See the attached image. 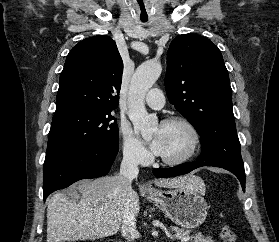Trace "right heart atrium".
Masks as SVG:
<instances>
[{"label":"right heart atrium","mask_w":279,"mask_h":242,"mask_svg":"<svg viewBox=\"0 0 279 242\" xmlns=\"http://www.w3.org/2000/svg\"><path fill=\"white\" fill-rule=\"evenodd\" d=\"M121 149L123 159L133 165H143L148 162L150 154L143 144L135 137L131 129L122 125L120 127Z\"/></svg>","instance_id":"obj_1"}]
</instances>
